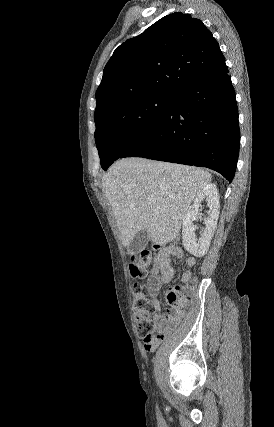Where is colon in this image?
<instances>
[{
	"mask_svg": "<svg viewBox=\"0 0 274 427\" xmlns=\"http://www.w3.org/2000/svg\"><path fill=\"white\" fill-rule=\"evenodd\" d=\"M181 242L180 240L178 241ZM134 262V277L149 276V260L143 258L132 257ZM180 286L178 284L169 285L165 290V299L168 303H174L179 295ZM134 323L137 332L141 338H151L152 352V333L156 332V322L153 317V309L151 304L142 298L135 299Z\"/></svg>",
	"mask_w": 274,
	"mask_h": 427,
	"instance_id": "5ec220e1",
	"label": "colon"
}]
</instances>
